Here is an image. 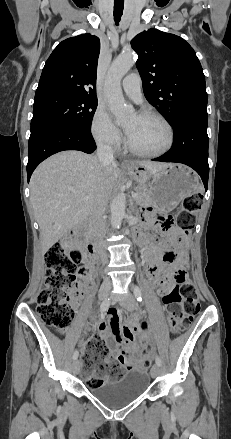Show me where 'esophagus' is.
<instances>
[{
  "label": "esophagus",
  "instance_id": "esophagus-1",
  "mask_svg": "<svg viewBox=\"0 0 231 439\" xmlns=\"http://www.w3.org/2000/svg\"><path fill=\"white\" fill-rule=\"evenodd\" d=\"M121 167L122 168H130V167H132V163H131V161H128V160H124V161H122L121 162Z\"/></svg>",
  "mask_w": 231,
  "mask_h": 439
}]
</instances>
